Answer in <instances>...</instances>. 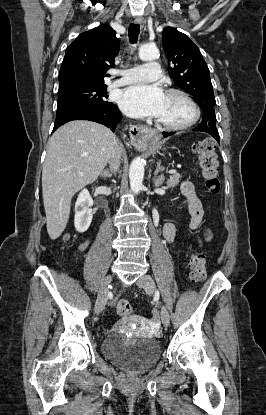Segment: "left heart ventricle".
Returning a JSON list of instances; mask_svg holds the SVG:
<instances>
[{
	"label": "left heart ventricle",
	"mask_w": 266,
	"mask_h": 415,
	"mask_svg": "<svg viewBox=\"0 0 266 415\" xmlns=\"http://www.w3.org/2000/svg\"><path fill=\"white\" fill-rule=\"evenodd\" d=\"M192 117L191 108L179 97L166 95L164 107L157 120L166 124L178 125Z\"/></svg>",
	"instance_id": "obj_1"
}]
</instances>
